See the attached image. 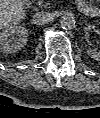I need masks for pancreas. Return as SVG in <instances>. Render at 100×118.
Returning <instances> with one entry per match:
<instances>
[{
    "label": "pancreas",
    "instance_id": "pancreas-1",
    "mask_svg": "<svg viewBox=\"0 0 100 118\" xmlns=\"http://www.w3.org/2000/svg\"><path fill=\"white\" fill-rule=\"evenodd\" d=\"M39 1H40L39 3H40V5H41V7H47V6H48L47 3H46V4H43V3H42V0H39Z\"/></svg>",
    "mask_w": 100,
    "mask_h": 118
}]
</instances>
